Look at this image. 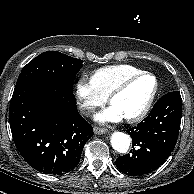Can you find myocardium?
I'll use <instances>...</instances> for the list:
<instances>
[{
  "label": "myocardium",
  "mask_w": 194,
  "mask_h": 194,
  "mask_svg": "<svg viewBox=\"0 0 194 194\" xmlns=\"http://www.w3.org/2000/svg\"><path fill=\"white\" fill-rule=\"evenodd\" d=\"M144 76H150L154 79V81H155L154 90H153L151 96L149 97L148 101L146 102L145 106L142 108V110L139 113H137L136 115H134L132 117L124 118V120L128 123L139 122L142 119H144L147 116V114L149 113V111H150V109H151V107H152V105H153V103L158 95V92H159V80H158L157 76L149 71H141L139 73L131 75V76L125 78L123 81H121L107 97V101L111 105L113 100L117 96H119L121 93H123L134 81H136L137 79L144 77Z\"/></svg>",
  "instance_id": "1"
}]
</instances>
